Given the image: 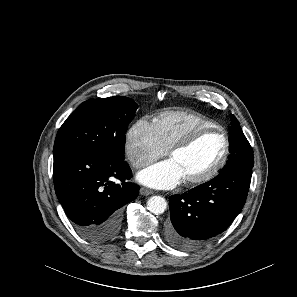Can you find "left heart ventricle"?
<instances>
[{
  "label": "left heart ventricle",
  "instance_id": "left-heart-ventricle-1",
  "mask_svg": "<svg viewBox=\"0 0 297 297\" xmlns=\"http://www.w3.org/2000/svg\"><path fill=\"white\" fill-rule=\"evenodd\" d=\"M224 149L222 137L217 133L200 136L191 146L171 156L180 167L184 179L205 173L220 158Z\"/></svg>",
  "mask_w": 297,
  "mask_h": 297
}]
</instances>
